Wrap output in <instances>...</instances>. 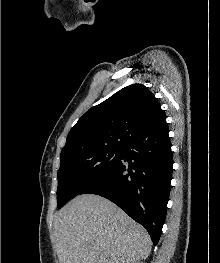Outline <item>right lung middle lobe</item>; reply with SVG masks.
<instances>
[{
    "label": "right lung middle lobe",
    "instance_id": "right-lung-middle-lobe-1",
    "mask_svg": "<svg viewBox=\"0 0 220 263\" xmlns=\"http://www.w3.org/2000/svg\"><path fill=\"white\" fill-rule=\"evenodd\" d=\"M122 154L121 148L105 147L71 151L61 155L58 171V208L106 173L122 158Z\"/></svg>",
    "mask_w": 220,
    "mask_h": 263
}]
</instances>
